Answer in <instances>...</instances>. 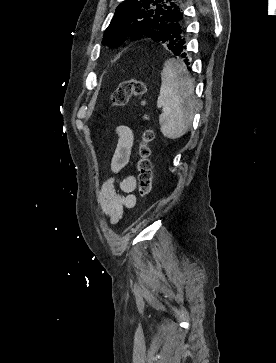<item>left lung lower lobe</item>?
<instances>
[{
  "label": "left lung lower lobe",
  "instance_id": "0a47b994",
  "mask_svg": "<svg viewBox=\"0 0 276 363\" xmlns=\"http://www.w3.org/2000/svg\"><path fill=\"white\" fill-rule=\"evenodd\" d=\"M181 33L186 32V27L185 25L182 26ZM186 37L184 39V37H181L179 39V37L174 38L173 40H169V42L167 43V47L175 54L178 55L179 57L184 59V62L186 63V65H189L188 63V57L186 54ZM188 69H190L188 67Z\"/></svg>",
  "mask_w": 276,
  "mask_h": 363
}]
</instances>
